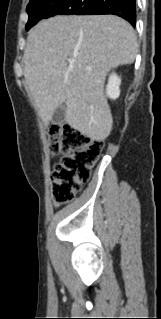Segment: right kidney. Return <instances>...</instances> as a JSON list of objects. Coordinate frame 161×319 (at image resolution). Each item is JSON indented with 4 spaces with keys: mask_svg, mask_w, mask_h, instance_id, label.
Returning <instances> with one entry per match:
<instances>
[{
    "mask_svg": "<svg viewBox=\"0 0 161 319\" xmlns=\"http://www.w3.org/2000/svg\"><path fill=\"white\" fill-rule=\"evenodd\" d=\"M120 84V77L117 74L112 73L109 77L108 84L106 87V95L111 99L118 98L120 95Z\"/></svg>",
    "mask_w": 161,
    "mask_h": 319,
    "instance_id": "1",
    "label": "right kidney"
}]
</instances>
